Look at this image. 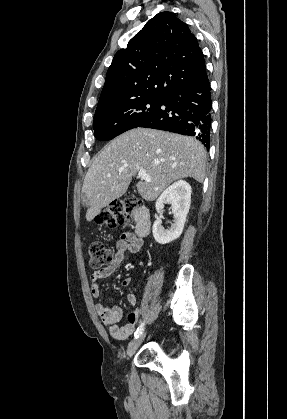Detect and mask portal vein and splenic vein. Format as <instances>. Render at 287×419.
Wrapping results in <instances>:
<instances>
[{"mask_svg":"<svg viewBox=\"0 0 287 419\" xmlns=\"http://www.w3.org/2000/svg\"><path fill=\"white\" fill-rule=\"evenodd\" d=\"M138 178L144 179L146 181H151V177L146 173L145 170H140L138 172Z\"/></svg>","mask_w":287,"mask_h":419,"instance_id":"portal-vein-and-splenic-vein-1","label":"portal vein and splenic vein"}]
</instances>
